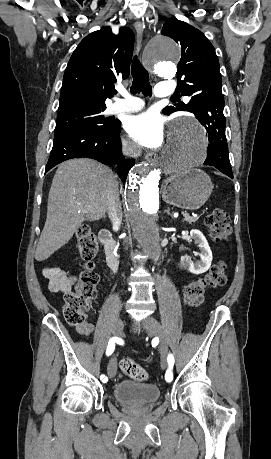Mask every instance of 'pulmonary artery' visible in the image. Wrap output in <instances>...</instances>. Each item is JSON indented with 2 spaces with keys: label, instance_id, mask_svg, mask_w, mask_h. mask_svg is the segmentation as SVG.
Listing matches in <instances>:
<instances>
[{
  "label": "pulmonary artery",
  "instance_id": "obj_1",
  "mask_svg": "<svg viewBox=\"0 0 271 459\" xmlns=\"http://www.w3.org/2000/svg\"><path fill=\"white\" fill-rule=\"evenodd\" d=\"M155 91L157 98H170L174 91V84L171 81H159ZM121 98L115 99L106 109L105 114H128L135 113L143 109L144 103L137 97L129 94L125 89L119 90Z\"/></svg>",
  "mask_w": 271,
  "mask_h": 459
}]
</instances>
